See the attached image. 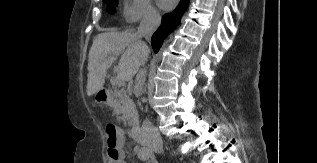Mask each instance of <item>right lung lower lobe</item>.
I'll list each match as a JSON object with an SVG mask.
<instances>
[{
	"label": "right lung lower lobe",
	"mask_w": 317,
	"mask_h": 163,
	"mask_svg": "<svg viewBox=\"0 0 317 163\" xmlns=\"http://www.w3.org/2000/svg\"><path fill=\"white\" fill-rule=\"evenodd\" d=\"M188 4L189 0H181L180 4L173 12L163 16L160 28L152 36V47L155 52L161 47L163 39H165L179 24Z\"/></svg>",
	"instance_id": "98d812e1"
}]
</instances>
